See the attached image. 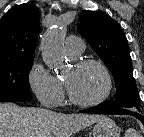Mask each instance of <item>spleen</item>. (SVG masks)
Returning a JSON list of instances; mask_svg holds the SVG:
<instances>
[{
  "mask_svg": "<svg viewBox=\"0 0 144 137\" xmlns=\"http://www.w3.org/2000/svg\"><path fill=\"white\" fill-rule=\"evenodd\" d=\"M128 132L132 135L131 137H140V134L134 129H130Z\"/></svg>",
  "mask_w": 144,
  "mask_h": 137,
  "instance_id": "spleen-1",
  "label": "spleen"
}]
</instances>
